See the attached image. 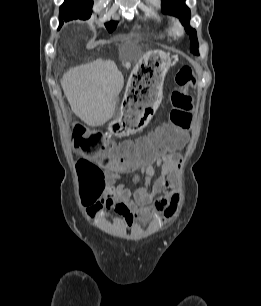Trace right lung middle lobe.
<instances>
[{"label": "right lung middle lobe", "instance_id": "obj_1", "mask_svg": "<svg viewBox=\"0 0 261 306\" xmlns=\"http://www.w3.org/2000/svg\"><path fill=\"white\" fill-rule=\"evenodd\" d=\"M93 6V0H75L72 2L63 3L60 7V24H63V20L69 21L72 19L86 20L91 16V10ZM116 21L106 23V28L109 32H112L117 27Z\"/></svg>", "mask_w": 261, "mask_h": 306}]
</instances>
